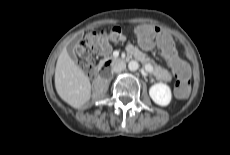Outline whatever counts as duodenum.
<instances>
[{
	"instance_id": "1",
	"label": "duodenum",
	"mask_w": 230,
	"mask_h": 155,
	"mask_svg": "<svg viewBox=\"0 0 230 155\" xmlns=\"http://www.w3.org/2000/svg\"><path fill=\"white\" fill-rule=\"evenodd\" d=\"M121 60H122L121 58H116V57H112V58L105 60L100 70V74L103 75L104 73L109 72L110 67L120 62ZM102 81H103V78H99L97 80V84L101 83Z\"/></svg>"
}]
</instances>
